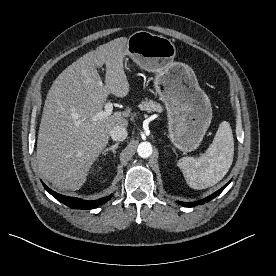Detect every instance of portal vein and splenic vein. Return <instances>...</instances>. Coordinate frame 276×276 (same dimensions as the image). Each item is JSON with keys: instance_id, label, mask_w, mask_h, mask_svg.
Returning <instances> with one entry per match:
<instances>
[{"instance_id": "obj_1", "label": "portal vein and splenic vein", "mask_w": 276, "mask_h": 276, "mask_svg": "<svg viewBox=\"0 0 276 276\" xmlns=\"http://www.w3.org/2000/svg\"><path fill=\"white\" fill-rule=\"evenodd\" d=\"M113 112V103L112 102H107L104 106V110L97 112L93 117V121H97L100 119H103L107 116H110Z\"/></svg>"}]
</instances>
